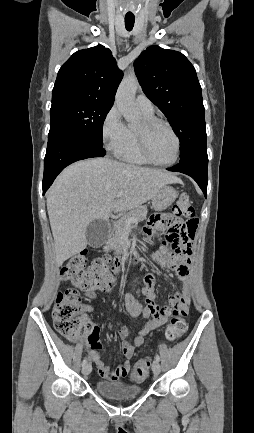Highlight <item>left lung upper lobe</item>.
<instances>
[{
  "instance_id": "1",
  "label": "left lung upper lobe",
  "mask_w": 254,
  "mask_h": 433,
  "mask_svg": "<svg viewBox=\"0 0 254 433\" xmlns=\"http://www.w3.org/2000/svg\"><path fill=\"white\" fill-rule=\"evenodd\" d=\"M134 69L144 93L179 137L180 162L208 158L202 90L193 65L180 52L150 46Z\"/></svg>"
}]
</instances>
